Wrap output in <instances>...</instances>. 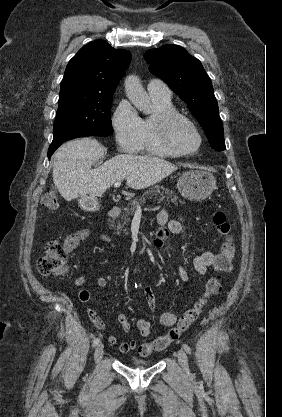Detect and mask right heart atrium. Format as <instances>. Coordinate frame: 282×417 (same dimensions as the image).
Returning a JSON list of instances; mask_svg holds the SVG:
<instances>
[{
  "mask_svg": "<svg viewBox=\"0 0 282 417\" xmlns=\"http://www.w3.org/2000/svg\"><path fill=\"white\" fill-rule=\"evenodd\" d=\"M118 145L128 153L142 149L143 133L140 117L131 105L122 101L112 117Z\"/></svg>",
  "mask_w": 282,
  "mask_h": 417,
  "instance_id": "d8ad5b80",
  "label": "right heart atrium"
}]
</instances>
